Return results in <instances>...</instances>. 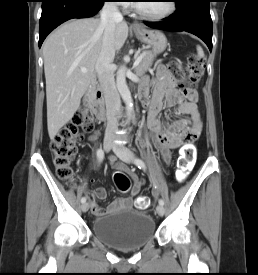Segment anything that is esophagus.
I'll list each match as a JSON object with an SVG mask.
<instances>
[{
    "instance_id": "1",
    "label": "esophagus",
    "mask_w": 258,
    "mask_h": 275,
    "mask_svg": "<svg viewBox=\"0 0 258 275\" xmlns=\"http://www.w3.org/2000/svg\"><path fill=\"white\" fill-rule=\"evenodd\" d=\"M132 28L134 29V30H140V29H142L143 27H142V25L141 24H139L138 22H133V24H132Z\"/></svg>"
}]
</instances>
